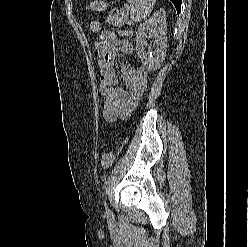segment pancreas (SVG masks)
I'll return each mask as SVG.
<instances>
[{
	"mask_svg": "<svg viewBox=\"0 0 248 247\" xmlns=\"http://www.w3.org/2000/svg\"><path fill=\"white\" fill-rule=\"evenodd\" d=\"M110 23L114 26L121 27L125 24H130L131 22L126 16H121V17H113L110 20Z\"/></svg>",
	"mask_w": 248,
	"mask_h": 247,
	"instance_id": "1",
	"label": "pancreas"
}]
</instances>
